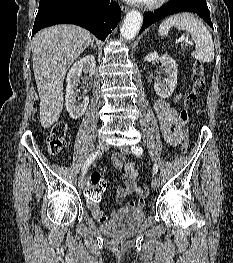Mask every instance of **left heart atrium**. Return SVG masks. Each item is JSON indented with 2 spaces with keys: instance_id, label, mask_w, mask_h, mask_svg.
I'll return each mask as SVG.
<instances>
[{
  "instance_id": "1",
  "label": "left heart atrium",
  "mask_w": 233,
  "mask_h": 263,
  "mask_svg": "<svg viewBox=\"0 0 233 263\" xmlns=\"http://www.w3.org/2000/svg\"><path fill=\"white\" fill-rule=\"evenodd\" d=\"M128 2H131V3H141V2H144L146 0H126Z\"/></svg>"
}]
</instances>
